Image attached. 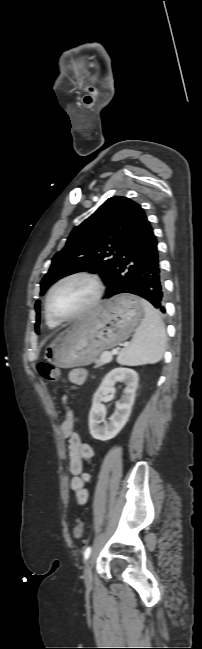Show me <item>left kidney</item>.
Returning <instances> with one entry per match:
<instances>
[{
  "label": "left kidney",
  "mask_w": 202,
  "mask_h": 649,
  "mask_svg": "<svg viewBox=\"0 0 202 649\" xmlns=\"http://www.w3.org/2000/svg\"><path fill=\"white\" fill-rule=\"evenodd\" d=\"M116 382L125 384L121 399L116 403V409L109 421L105 420V410L102 401L109 398L114 391ZM138 386V374L129 368H115L102 380L92 399L89 413V429L93 438L106 441L114 438L127 423L135 400ZM103 422V424H101Z\"/></svg>",
  "instance_id": "1"
}]
</instances>
